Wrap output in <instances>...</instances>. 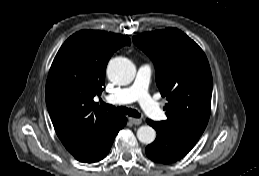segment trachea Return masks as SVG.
Here are the masks:
<instances>
[{
  "label": "trachea",
  "instance_id": "trachea-1",
  "mask_svg": "<svg viewBox=\"0 0 259 176\" xmlns=\"http://www.w3.org/2000/svg\"><path fill=\"white\" fill-rule=\"evenodd\" d=\"M101 106L110 112L117 114L129 115L131 117H140V113L137 110L126 108V107H114L101 101Z\"/></svg>",
  "mask_w": 259,
  "mask_h": 176
}]
</instances>
